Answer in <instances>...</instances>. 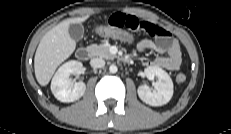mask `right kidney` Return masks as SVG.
Listing matches in <instances>:
<instances>
[{
    "instance_id": "1",
    "label": "right kidney",
    "mask_w": 231,
    "mask_h": 134,
    "mask_svg": "<svg viewBox=\"0 0 231 134\" xmlns=\"http://www.w3.org/2000/svg\"><path fill=\"white\" fill-rule=\"evenodd\" d=\"M82 63L72 60L63 64L55 73L51 82V91L55 98L61 102H74L80 99L86 90L83 82L73 83L69 79L71 74H79L82 70Z\"/></svg>"
}]
</instances>
